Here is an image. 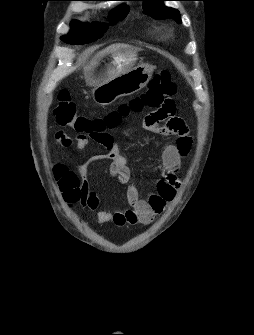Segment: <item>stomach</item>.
Here are the masks:
<instances>
[{
  "label": "stomach",
  "instance_id": "stomach-1",
  "mask_svg": "<svg viewBox=\"0 0 254 335\" xmlns=\"http://www.w3.org/2000/svg\"><path fill=\"white\" fill-rule=\"evenodd\" d=\"M137 52V48L125 46L90 67L87 81L94 86L92 98L95 103L109 105L117 98L131 95L148 84L154 67L135 66Z\"/></svg>",
  "mask_w": 254,
  "mask_h": 335
}]
</instances>
